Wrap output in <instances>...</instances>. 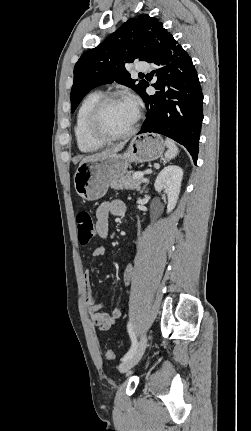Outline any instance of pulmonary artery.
Returning a JSON list of instances; mask_svg holds the SVG:
<instances>
[{
    "mask_svg": "<svg viewBox=\"0 0 251 431\" xmlns=\"http://www.w3.org/2000/svg\"><path fill=\"white\" fill-rule=\"evenodd\" d=\"M150 65L146 62H139L135 65V69L138 72H146L150 70Z\"/></svg>",
    "mask_w": 251,
    "mask_h": 431,
    "instance_id": "obj_1",
    "label": "pulmonary artery"
}]
</instances>
